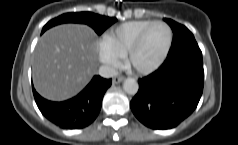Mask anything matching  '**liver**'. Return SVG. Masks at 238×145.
I'll return each instance as SVG.
<instances>
[{
    "label": "liver",
    "mask_w": 238,
    "mask_h": 145,
    "mask_svg": "<svg viewBox=\"0 0 238 145\" xmlns=\"http://www.w3.org/2000/svg\"><path fill=\"white\" fill-rule=\"evenodd\" d=\"M97 54V36L86 25L64 24L46 31L34 52L35 89L52 101L75 96L96 73Z\"/></svg>",
    "instance_id": "1"
}]
</instances>
